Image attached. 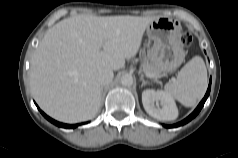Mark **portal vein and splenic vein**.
<instances>
[{
    "label": "portal vein and splenic vein",
    "instance_id": "1",
    "mask_svg": "<svg viewBox=\"0 0 238 158\" xmlns=\"http://www.w3.org/2000/svg\"><path fill=\"white\" fill-rule=\"evenodd\" d=\"M148 77H151L152 75H147Z\"/></svg>",
    "mask_w": 238,
    "mask_h": 158
}]
</instances>
